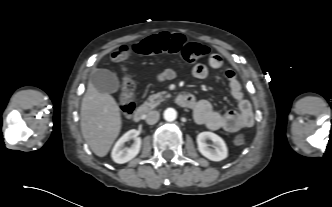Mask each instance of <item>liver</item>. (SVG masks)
Segmentation results:
<instances>
[{
  "label": "liver",
  "instance_id": "1",
  "mask_svg": "<svg viewBox=\"0 0 332 207\" xmlns=\"http://www.w3.org/2000/svg\"><path fill=\"white\" fill-rule=\"evenodd\" d=\"M80 116L83 138L94 154L106 156L122 127L117 102L111 95L97 91L89 82Z\"/></svg>",
  "mask_w": 332,
  "mask_h": 207
}]
</instances>
